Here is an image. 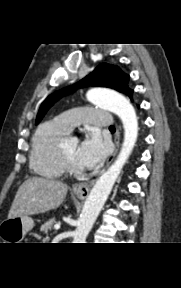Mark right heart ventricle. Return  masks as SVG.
Returning <instances> with one entry per match:
<instances>
[{"instance_id": "1", "label": "right heart ventricle", "mask_w": 181, "mask_h": 288, "mask_svg": "<svg viewBox=\"0 0 181 288\" xmlns=\"http://www.w3.org/2000/svg\"><path fill=\"white\" fill-rule=\"evenodd\" d=\"M68 133L56 120L45 122L37 128L30 153V167L36 174L57 179L66 173L60 159L59 145Z\"/></svg>"}]
</instances>
